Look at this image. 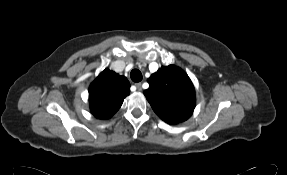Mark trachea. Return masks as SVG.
I'll use <instances>...</instances> for the list:
<instances>
[{"instance_id": "1", "label": "trachea", "mask_w": 287, "mask_h": 175, "mask_svg": "<svg viewBox=\"0 0 287 175\" xmlns=\"http://www.w3.org/2000/svg\"><path fill=\"white\" fill-rule=\"evenodd\" d=\"M130 77L133 82H140L142 80V74L138 69H133L130 73Z\"/></svg>"}]
</instances>
